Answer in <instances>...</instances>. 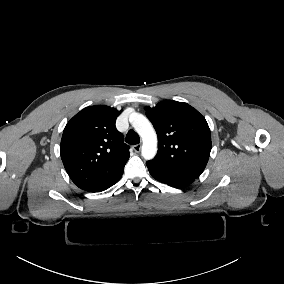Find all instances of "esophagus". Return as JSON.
<instances>
[{
	"mask_svg": "<svg viewBox=\"0 0 284 284\" xmlns=\"http://www.w3.org/2000/svg\"><path fill=\"white\" fill-rule=\"evenodd\" d=\"M133 150L135 151V152H140V150H141V144H136V145H134L133 147Z\"/></svg>",
	"mask_w": 284,
	"mask_h": 284,
	"instance_id": "34e87169",
	"label": "esophagus"
}]
</instances>
